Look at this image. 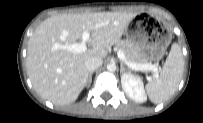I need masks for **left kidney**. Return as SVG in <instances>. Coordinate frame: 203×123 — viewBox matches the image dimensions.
I'll list each match as a JSON object with an SVG mask.
<instances>
[{"label": "left kidney", "instance_id": "obj_1", "mask_svg": "<svg viewBox=\"0 0 203 123\" xmlns=\"http://www.w3.org/2000/svg\"><path fill=\"white\" fill-rule=\"evenodd\" d=\"M121 85L125 94L132 100L143 103L147 100L143 81L140 77L131 73L121 75Z\"/></svg>", "mask_w": 203, "mask_h": 123}]
</instances>
